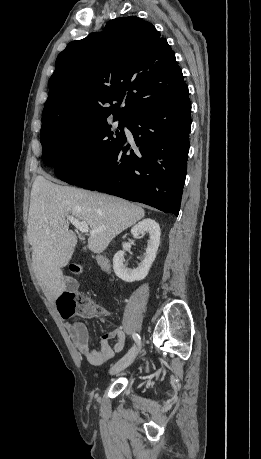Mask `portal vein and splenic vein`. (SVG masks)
<instances>
[{"mask_svg":"<svg viewBox=\"0 0 261 459\" xmlns=\"http://www.w3.org/2000/svg\"><path fill=\"white\" fill-rule=\"evenodd\" d=\"M67 219L71 222L72 225L75 226L80 232L82 233H88L89 232V227L86 222H82L75 218L74 216H67ZM98 230H96L97 232Z\"/></svg>","mask_w":261,"mask_h":459,"instance_id":"1","label":"portal vein and splenic vein"}]
</instances>
